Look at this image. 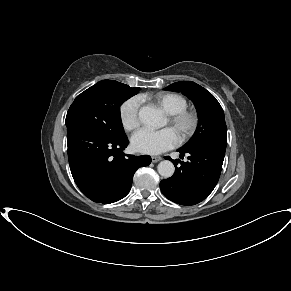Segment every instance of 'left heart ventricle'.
<instances>
[{"instance_id": "left-heart-ventricle-1", "label": "left heart ventricle", "mask_w": 291, "mask_h": 291, "mask_svg": "<svg viewBox=\"0 0 291 291\" xmlns=\"http://www.w3.org/2000/svg\"><path fill=\"white\" fill-rule=\"evenodd\" d=\"M186 127V125L184 124L181 128H177V129H173L174 132L176 133V135L179 137L181 131Z\"/></svg>"}]
</instances>
